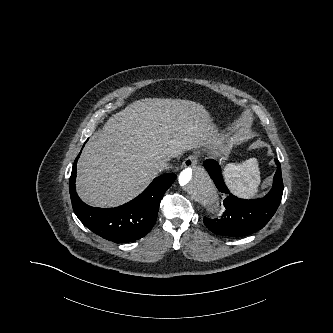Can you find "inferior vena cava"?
<instances>
[{"label":"inferior vena cava","mask_w":333,"mask_h":333,"mask_svg":"<svg viewBox=\"0 0 333 333\" xmlns=\"http://www.w3.org/2000/svg\"><path fill=\"white\" fill-rule=\"evenodd\" d=\"M156 168L159 171H162V170H165V169H169L170 168V164L167 161L162 160V161L156 163Z\"/></svg>","instance_id":"1"}]
</instances>
